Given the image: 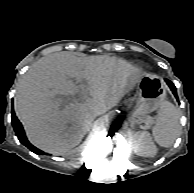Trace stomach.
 I'll list each match as a JSON object with an SVG mask.
<instances>
[{"instance_id": "obj_1", "label": "stomach", "mask_w": 194, "mask_h": 193, "mask_svg": "<svg viewBox=\"0 0 194 193\" xmlns=\"http://www.w3.org/2000/svg\"><path fill=\"white\" fill-rule=\"evenodd\" d=\"M166 97L163 80L157 76H144L137 85V109L140 116L155 111Z\"/></svg>"}]
</instances>
